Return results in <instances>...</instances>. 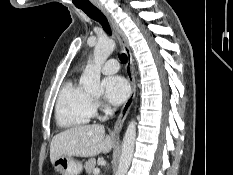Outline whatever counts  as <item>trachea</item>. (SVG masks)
<instances>
[{"label": "trachea", "mask_w": 233, "mask_h": 175, "mask_svg": "<svg viewBox=\"0 0 233 175\" xmlns=\"http://www.w3.org/2000/svg\"><path fill=\"white\" fill-rule=\"evenodd\" d=\"M76 7L83 10L90 18L99 22L102 25V27L104 28V30L107 33L111 34V28H110V25L108 23L107 18L104 16V14L97 7H95L91 3L83 4V5H76ZM120 61L122 63H126L127 56L125 53L121 54Z\"/></svg>", "instance_id": "3493384b"}]
</instances>
